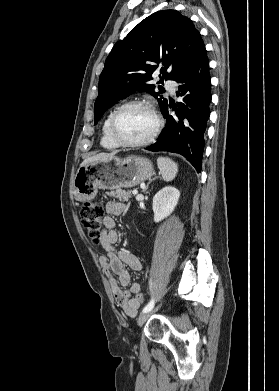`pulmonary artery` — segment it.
<instances>
[{
  "label": "pulmonary artery",
  "instance_id": "e3ab8cb5",
  "mask_svg": "<svg viewBox=\"0 0 279 391\" xmlns=\"http://www.w3.org/2000/svg\"><path fill=\"white\" fill-rule=\"evenodd\" d=\"M176 86L177 84L173 81H168L167 84H166V87L167 89L171 92V93H174L175 90H176Z\"/></svg>",
  "mask_w": 279,
  "mask_h": 391
}]
</instances>
